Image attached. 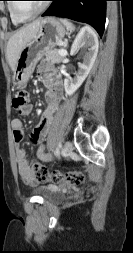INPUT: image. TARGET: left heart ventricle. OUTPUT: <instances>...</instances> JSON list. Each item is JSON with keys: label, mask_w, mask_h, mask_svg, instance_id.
<instances>
[{"label": "left heart ventricle", "mask_w": 133, "mask_h": 253, "mask_svg": "<svg viewBox=\"0 0 133 253\" xmlns=\"http://www.w3.org/2000/svg\"><path fill=\"white\" fill-rule=\"evenodd\" d=\"M43 1H18L15 2V8L22 16H29L35 13L42 5Z\"/></svg>", "instance_id": "b2bd125f"}]
</instances>
